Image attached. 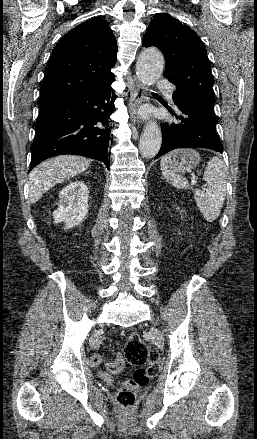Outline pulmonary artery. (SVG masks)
Wrapping results in <instances>:
<instances>
[{"label": "pulmonary artery", "mask_w": 257, "mask_h": 439, "mask_svg": "<svg viewBox=\"0 0 257 439\" xmlns=\"http://www.w3.org/2000/svg\"><path fill=\"white\" fill-rule=\"evenodd\" d=\"M156 88L163 92L168 100H172L174 88L167 80L159 79L156 83Z\"/></svg>", "instance_id": "e3ab8cb5"}]
</instances>
